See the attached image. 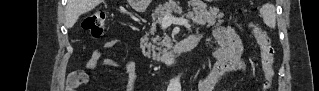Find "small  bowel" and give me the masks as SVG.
<instances>
[{"label":"small bowel","mask_w":319,"mask_h":91,"mask_svg":"<svg viewBox=\"0 0 319 91\" xmlns=\"http://www.w3.org/2000/svg\"><path fill=\"white\" fill-rule=\"evenodd\" d=\"M215 48L213 55L217 63L200 80L197 86L198 91H212L214 86L228 73L232 71H244L245 64L242 59L244 52L243 41L235 29L229 25L218 26L213 29ZM121 44L118 39H109L104 42L105 49H114ZM100 66L121 68L128 74V86L130 87L136 74V67L131 62H118L107 57L101 50L95 49L86 62L88 70H96ZM87 80L83 72L73 73L70 83L75 86ZM127 90H131L128 88Z\"/></svg>","instance_id":"1"}]
</instances>
